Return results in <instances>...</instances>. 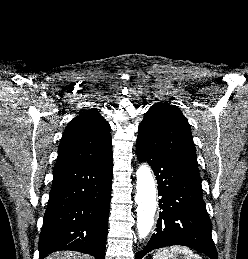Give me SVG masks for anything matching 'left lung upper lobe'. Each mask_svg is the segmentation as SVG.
I'll return each instance as SVG.
<instances>
[{"instance_id":"left-lung-upper-lobe-1","label":"left lung upper lobe","mask_w":248,"mask_h":259,"mask_svg":"<svg viewBox=\"0 0 248 259\" xmlns=\"http://www.w3.org/2000/svg\"><path fill=\"white\" fill-rule=\"evenodd\" d=\"M167 158L192 179L201 181L187 119L173 105L156 103L139 125L137 142Z\"/></svg>"}]
</instances>
